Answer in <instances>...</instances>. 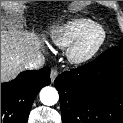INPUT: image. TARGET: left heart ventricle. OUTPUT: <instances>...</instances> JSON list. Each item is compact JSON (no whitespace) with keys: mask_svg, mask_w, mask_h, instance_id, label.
<instances>
[{"mask_svg":"<svg viewBox=\"0 0 123 123\" xmlns=\"http://www.w3.org/2000/svg\"><path fill=\"white\" fill-rule=\"evenodd\" d=\"M100 37V32H94L86 42V47L92 46Z\"/></svg>","mask_w":123,"mask_h":123,"instance_id":"b2bd125f","label":"left heart ventricle"}]
</instances>
